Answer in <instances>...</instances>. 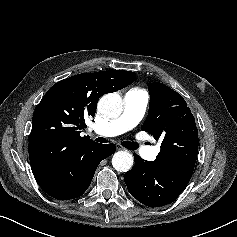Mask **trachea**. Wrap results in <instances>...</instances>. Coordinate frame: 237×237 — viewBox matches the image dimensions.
I'll use <instances>...</instances> for the list:
<instances>
[{
  "instance_id": "obj_1",
  "label": "trachea",
  "mask_w": 237,
  "mask_h": 237,
  "mask_svg": "<svg viewBox=\"0 0 237 237\" xmlns=\"http://www.w3.org/2000/svg\"><path fill=\"white\" fill-rule=\"evenodd\" d=\"M95 141L100 142V143H107V140L103 137H98L95 139ZM121 144L129 150H135L137 148V143L135 142L123 141Z\"/></svg>"
}]
</instances>
